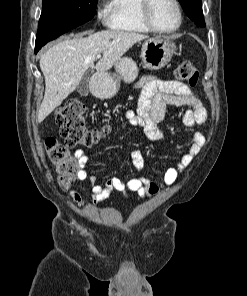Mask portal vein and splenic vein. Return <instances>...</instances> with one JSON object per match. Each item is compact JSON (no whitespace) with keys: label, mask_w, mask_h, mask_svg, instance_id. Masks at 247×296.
Instances as JSON below:
<instances>
[{"label":"portal vein and splenic vein","mask_w":247,"mask_h":296,"mask_svg":"<svg viewBox=\"0 0 247 296\" xmlns=\"http://www.w3.org/2000/svg\"><path fill=\"white\" fill-rule=\"evenodd\" d=\"M97 58H101V54H98V55H97Z\"/></svg>","instance_id":"1"}]
</instances>
